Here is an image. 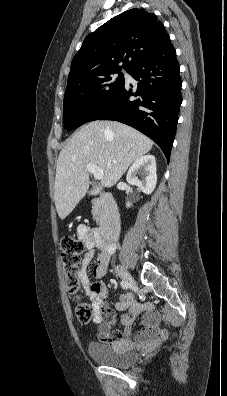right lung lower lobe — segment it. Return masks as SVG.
Wrapping results in <instances>:
<instances>
[{
	"instance_id": "1",
	"label": "right lung lower lobe",
	"mask_w": 227,
	"mask_h": 396,
	"mask_svg": "<svg viewBox=\"0 0 227 396\" xmlns=\"http://www.w3.org/2000/svg\"><path fill=\"white\" fill-rule=\"evenodd\" d=\"M179 70L170 41L127 71L138 81L137 89L123 86L90 121L116 120L139 130L160 146L169 161L182 103Z\"/></svg>"
}]
</instances>
